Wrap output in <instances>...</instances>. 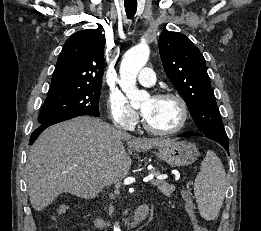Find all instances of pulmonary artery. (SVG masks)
<instances>
[{"label":"pulmonary artery","instance_id":"e3ab8cb5","mask_svg":"<svg viewBox=\"0 0 261 231\" xmlns=\"http://www.w3.org/2000/svg\"><path fill=\"white\" fill-rule=\"evenodd\" d=\"M139 83L143 86L150 87L155 84V74L154 71L149 67H144L140 71Z\"/></svg>","mask_w":261,"mask_h":231}]
</instances>
